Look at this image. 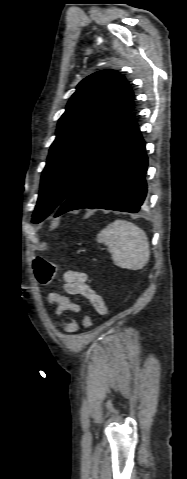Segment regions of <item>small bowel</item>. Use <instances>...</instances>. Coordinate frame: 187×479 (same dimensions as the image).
I'll return each instance as SVG.
<instances>
[{"mask_svg":"<svg viewBox=\"0 0 187 479\" xmlns=\"http://www.w3.org/2000/svg\"><path fill=\"white\" fill-rule=\"evenodd\" d=\"M64 291L69 295L83 296L99 314H106L107 307L98 291L88 284L86 273L77 270H68L64 274ZM50 304L56 305L55 314L63 317L66 313H79L81 307L72 301L69 296L57 292H50L47 296ZM58 328L64 332H75L78 330L76 319L69 315L62 318Z\"/></svg>","mask_w":187,"mask_h":479,"instance_id":"small-bowel-1","label":"small bowel"}]
</instances>
